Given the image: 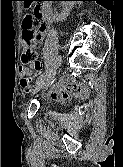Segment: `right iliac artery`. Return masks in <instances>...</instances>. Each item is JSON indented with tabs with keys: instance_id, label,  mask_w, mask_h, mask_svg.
I'll use <instances>...</instances> for the list:
<instances>
[{
	"instance_id": "82829eb1",
	"label": "right iliac artery",
	"mask_w": 123,
	"mask_h": 167,
	"mask_svg": "<svg viewBox=\"0 0 123 167\" xmlns=\"http://www.w3.org/2000/svg\"><path fill=\"white\" fill-rule=\"evenodd\" d=\"M61 62V57L58 56L57 59L55 60V62L53 63V65L51 66V68H49L48 70H46L37 80V84L39 82H41L46 76H48V74L56 67H58L60 65Z\"/></svg>"
}]
</instances>
